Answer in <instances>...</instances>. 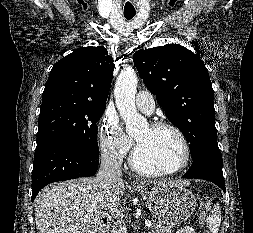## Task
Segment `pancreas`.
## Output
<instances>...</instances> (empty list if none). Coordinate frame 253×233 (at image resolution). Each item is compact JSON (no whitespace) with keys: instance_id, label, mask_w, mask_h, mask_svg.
<instances>
[{"instance_id":"1","label":"pancreas","mask_w":253,"mask_h":233,"mask_svg":"<svg viewBox=\"0 0 253 233\" xmlns=\"http://www.w3.org/2000/svg\"><path fill=\"white\" fill-rule=\"evenodd\" d=\"M112 233H126V223L124 220H117L112 226ZM151 233H171V227L153 224Z\"/></svg>"}]
</instances>
